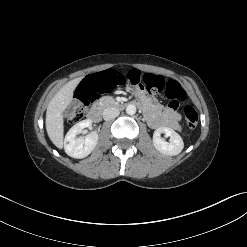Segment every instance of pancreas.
Returning <instances> with one entry per match:
<instances>
[{
    "label": "pancreas",
    "mask_w": 247,
    "mask_h": 247,
    "mask_svg": "<svg viewBox=\"0 0 247 247\" xmlns=\"http://www.w3.org/2000/svg\"><path fill=\"white\" fill-rule=\"evenodd\" d=\"M105 100H106L105 98H102V99L100 100L99 104L102 105V104L105 102Z\"/></svg>",
    "instance_id": "cf45deb5"
}]
</instances>
